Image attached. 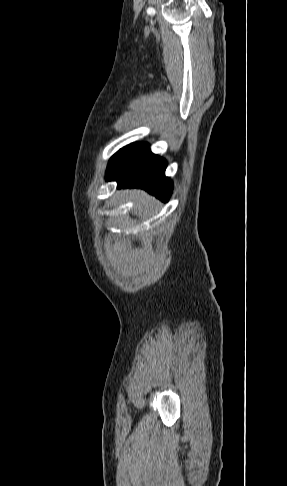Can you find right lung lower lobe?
<instances>
[{"instance_id":"98d812e1","label":"right lung lower lobe","mask_w":287,"mask_h":486,"mask_svg":"<svg viewBox=\"0 0 287 486\" xmlns=\"http://www.w3.org/2000/svg\"><path fill=\"white\" fill-rule=\"evenodd\" d=\"M166 161L151 153L147 143H133L110 159L106 180H115L118 188H142L160 200L168 201L172 182L165 177Z\"/></svg>"}]
</instances>
